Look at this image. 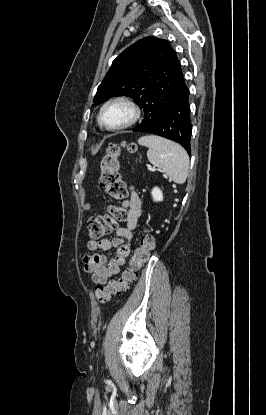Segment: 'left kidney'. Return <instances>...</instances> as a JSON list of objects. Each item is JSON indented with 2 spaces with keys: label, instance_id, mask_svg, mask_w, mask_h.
<instances>
[{
  "label": "left kidney",
  "instance_id": "5707ae66",
  "mask_svg": "<svg viewBox=\"0 0 266 415\" xmlns=\"http://www.w3.org/2000/svg\"><path fill=\"white\" fill-rule=\"evenodd\" d=\"M151 194L155 202L163 200V193L158 187H154Z\"/></svg>",
  "mask_w": 266,
  "mask_h": 415
}]
</instances>
